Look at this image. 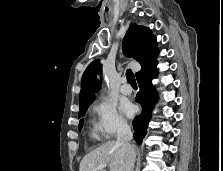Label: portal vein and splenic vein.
Instances as JSON below:
<instances>
[{
    "label": "portal vein and splenic vein",
    "instance_id": "18ae733b",
    "mask_svg": "<svg viewBox=\"0 0 223 171\" xmlns=\"http://www.w3.org/2000/svg\"><path fill=\"white\" fill-rule=\"evenodd\" d=\"M107 167V164H100L96 169H95V171H99V170H101V169H104V168H106Z\"/></svg>",
    "mask_w": 223,
    "mask_h": 171
}]
</instances>
